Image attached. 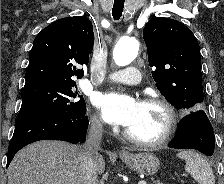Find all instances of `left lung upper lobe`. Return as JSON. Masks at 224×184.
Here are the masks:
<instances>
[{"mask_svg":"<svg viewBox=\"0 0 224 184\" xmlns=\"http://www.w3.org/2000/svg\"><path fill=\"white\" fill-rule=\"evenodd\" d=\"M143 38L161 94L177 109L190 113L201 109L200 48L192 31L176 20L154 17L145 25Z\"/></svg>","mask_w":224,"mask_h":184,"instance_id":"obj_1","label":"left lung upper lobe"}]
</instances>
